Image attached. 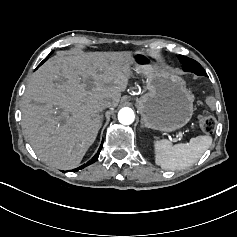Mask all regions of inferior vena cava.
I'll return each mask as SVG.
<instances>
[{"instance_id":"1","label":"inferior vena cava","mask_w":237,"mask_h":237,"mask_svg":"<svg viewBox=\"0 0 237 237\" xmlns=\"http://www.w3.org/2000/svg\"><path fill=\"white\" fill-rule=\"evenodd\" d=\"M100 106L102 109H105V108L111 107L112 103H111V101L103 100L100 102Z\"/></svg>"}]
</instances>
